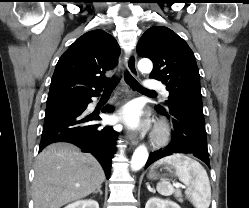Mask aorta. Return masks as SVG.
<instances>
[{"mask_svg": "<svg viewBox=\"0 0 249 208\" xmlns=\"http://www.w3.org/2000/svg\"><path fill=\"white\" fill-rule=\"evenodd\" d=\"M153 65L149 59H141L138 62V69L142 73H150L152 71ZM148 151L144 145L136 148L131 159V169L133 171L140 170L146 163L148 159Z\"/></svg>", "mask_w": 249, "mask_h": 208, "instance_id": "762f6f07", "label": "aorta"}]
</instances>
